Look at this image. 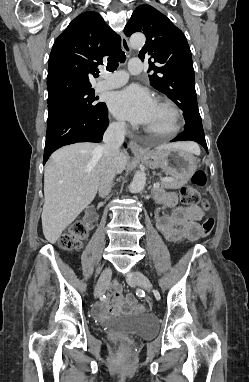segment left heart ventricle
I'll return each mask as SVG.
<instances>
[{"label": "left heart ventricle", "mask_w": 249, "mask_h": 382, "mask_svg": "<svg viewBox=\"0 0 249 382\" xmlns=\"http://www.w3.org/2000/svg\"><path fill=\"white\" fill-rule=\"evenodd\" d=\"M171 121L170 112L163 106L156 104L151 118L145 124V128L156 133L165 132L170 128Z\"/></svg>", "instance_id": "b2bd125f"}]
</instances>
